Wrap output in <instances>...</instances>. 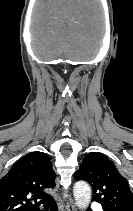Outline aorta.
<instances>
[{"label":"aorta","mask_w":133,"mask_h":211,"mask_svg":"<svg viewBox=\"0 0 133 211\" xmlns=\"http://www.w3.org/2000/svg\"><path fill=\"white\" fill-rule=\"evenodd\" d=\"M73 194L76 206L82 211L85 210L91 200L90 186L84 181H78L74 184Z\"/></svg>","instance_id":"762f6f07"}]
</instances>
